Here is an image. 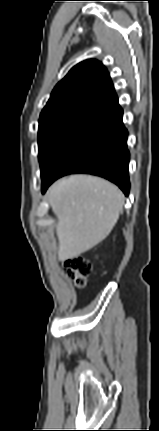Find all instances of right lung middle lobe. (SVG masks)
<instances>
[{
	"mask_svg": "<svg viewBox=\"0 0 159 431\" xmlns=\"http://www.w3.org/2000/svg\"><path fill=\"white\" fill-rule=\"evenodd\" d=\"M85 120L68 116H53L39 120L38 147L41 172L59 144Z\"/></svg>",
	"mask_w": 159,
	"mask_h": 431,
	"instance_id": "obj_1",
	"label": "right lung middle lobe"
}]
</instances>
